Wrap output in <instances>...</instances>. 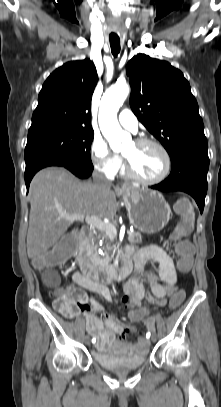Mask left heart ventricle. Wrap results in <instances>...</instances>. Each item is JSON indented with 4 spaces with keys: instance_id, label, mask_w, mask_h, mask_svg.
Wrapping results in <instances>:
<instances>
[{
    "instance_id": "obj_1",
    "label": "left heart ventricle",
    "mask_w": 221,
    "mask_h": 407,
    "mask_svg": "<svg viewBox=\"0 0 221 407\" xmlns=\"http://www.w3.org/2000/svg\"><path fill=\"white\" fill-rule=\"evenodd\" d=\"M123 155L131 161L136 172L147 179L160 177L166 167L164 155L155 146H138L132 142L123 150Z\"/></svg>"
}]
</instances>
